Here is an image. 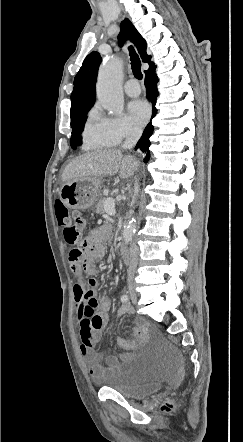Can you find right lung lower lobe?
<instances>
[{
	"label": "right lung lower lobe",
	"instance_id": "98d812e1",
	"mask_svg": "<svg viewBox=\"0 0 243 442\" xmlns=\"http://www.w3.org/2000/svg\"><path fill=\"white\" fill-rule=\"evenodd\" d=\"M155 68L156 66L153 65L151 67H149V69L147 71H145V86L148 89V99L151 100L152 102V109H153V114H152V118L155 117L156 113H157V109L155 107L156 104V98L158 96V91L156 88V83L158 82V78L155 75ZM153 125L151 124V122L146 126L142 137L140 138V140L137 143L136 149L140 148L142 151H146L147 150V155L145 157L144 162L146 163L149 160L150 157V153L148 151V147L150 146V141L149 138L153 133Z\"/></svg>",
	"mask_w": 243,
	"mask_h": 442
}]
</instances>
